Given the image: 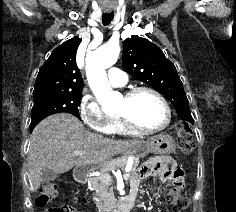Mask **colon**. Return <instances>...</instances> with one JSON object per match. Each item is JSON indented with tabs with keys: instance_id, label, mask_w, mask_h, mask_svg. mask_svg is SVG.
Instances as JSON below:
<instances>
[{
	"instance_id": "obj_1",
	"label": "colon",
	"mask_w": 236,
	"mask_h": 212,
	"mask_svg": "<svg viewBox=\"0 0 236 212\" xmlns=\"http://www.w3.org/2000/svg\"><path fill=\"white\" fill-rule=\"evenodd\" d=\"M178 147L182 154L190 155L193 152L194 144L192 133L189 126L185 122H179L176 127ZM182 182L170 176L167 181V186L161 189V193L165 196L166 201L173 206L175 212L187 209L190 206V200L182 193ZM58 195V187L53 182H45L42 185L40 194L36 200L39 207H45L50 204ZM48 212H74V210L62 205L48 210Z\"/></svg>"
}]
</instances>
